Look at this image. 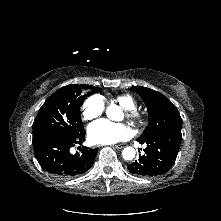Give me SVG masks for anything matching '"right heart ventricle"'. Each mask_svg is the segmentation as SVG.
<instances>
[{
	"mask_svg": "<svg viewBox=\"0 0 221 221\" xmlns=\"http://www.w3.org/2000/svg\"><path fill=\"white\" fill-rule=\"evenodd\" d=\"M115 100L126 110H132L136 106L135 99L129 94L117 95Z\"/></svg>",
	"mask_w": 221,
	"mask_h": 221,
	"instance_id": "1",
	"label": "right heart ventricle"
}]
</instances>
